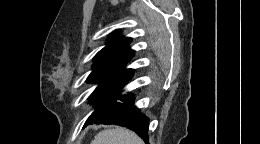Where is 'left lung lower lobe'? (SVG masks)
<instances>
[{"label": "left lung lower lobe", "instance_id": "left-lung-lower-lobe-1", "mask_svg": "<svg viewBox=\"0 0 260 144\" xmlns=\"http://www.w3.org/2000/svg\"><path fill=\"white\" fill-rule=\"evenodd\" d=\"M93 123L127 127L148 143L149 120L134 106V95L132 92L127 94L117 92L107 106L96 114L87 125Z\"/></svg>", "mask_w": 260, "mask_h": 144}]
</instances>
